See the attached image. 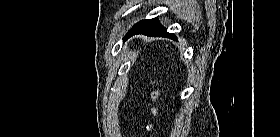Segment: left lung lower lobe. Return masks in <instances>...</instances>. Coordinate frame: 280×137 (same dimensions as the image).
<instances>
[{"label": "left lung lower lobe", "instance_id": "left-lung-lower-lobe-1", "mask_svg": "<svg viewBox=\"0 0 280 137\" xmlns=\"http://www.w3.org/2000/svg\"><path fill=\"white\" fill-rule=\"evenodd\" d=\"M135 34H145L153 37H168L171 39H177L172 33H168L166 28L163 27L157 18L142 20L135 24L131 30L128 31L124 40Z\"/></svg>", "mask_w": 280, "mask_h": 137}]
</instances>
